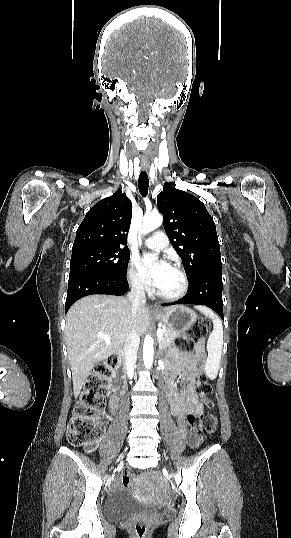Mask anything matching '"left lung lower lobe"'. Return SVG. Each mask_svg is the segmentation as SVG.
<instances>
[{
  "label": "left lung lower lobe",
  "instance_id": "obj_1",
  "mask_svg": "<svg viewBox=\"0 0 291 538\" xmlns=\"http://www.w3.org/2000/svg\"><path fill=\"white\" fill-rule=\"evenodd\" d=\"M175 304L204 305L213 309L224 320L221 268H211L202 272L190 281L188 292L182 299L162 305Z\"/></svg>",
  "mask_w": 291,
  "mask_h": 538
}]
</instances>
